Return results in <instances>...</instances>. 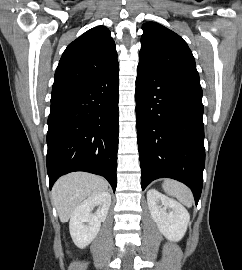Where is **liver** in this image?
Instances as JSON below:
<instances>
[{
    "label": "liver",
    "mask_w": 242,
    "mask_h": 270,
    "mask_svg": "<svg viewBox=\"0 0 242 270\" xmlns=\"http://www.w3.org/2000/svg\"><path fill=\"white\" fill-rule=\"evenodd\" d=\"M107 189L108 182L104 178L89 173H71L58 179L52 189V199L60 221L68 222L80 203Z\"/></svg>",
    "instance_id": "liver-1"
}]
</instances>
